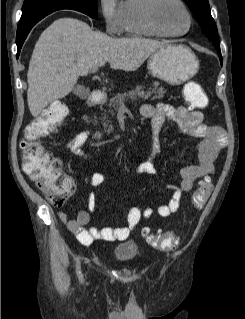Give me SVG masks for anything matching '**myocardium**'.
Masks as SVG:
<instances>
[{"mask_svg":"<svg viewBox=\"0 0 245 319\" xmlns=\"http://www.w3.org/2000/svg\"><path fill=\"white\" fill-rule=\"evenodd\" d=\"M165 0H148L147 4L145 5V19L146 22L150 27H152L154 30L158 31L160 34L168 37H179L183 36L191 29L192 26V15L189 10V8L186 6V4L182 0H171L172 2L177 3L185 12L188 24L184 31L181 32H172L168 30L159 20L158 17V8L159 6L164 2Z\"/></svg>","mask_w":245,"mask_h":319,"instance_id":"f54148a6","label":"myocardium"}]
</instances>
